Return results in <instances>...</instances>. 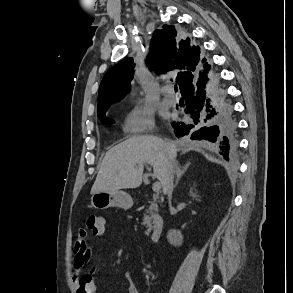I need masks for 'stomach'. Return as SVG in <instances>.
<instances>
[{
    "instance_id": "1",
    "label": "stomach",
    "mask_w": 293,
    "mask_h": 293,
    "mask_svg": "<svg viewBox=\"0 0 293 293\" xmlns=\"http://www.w3.org/2000/svg\"><path fill=\"white\" fill-rule=\"evenodd\" d=\"M91 205L96 209H107L109 207L129 209L133 205V200L124 191H117L115 193L97 192L91 197Z\"/></svg>"
}]
</instances>
